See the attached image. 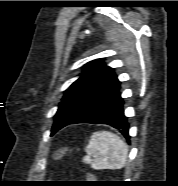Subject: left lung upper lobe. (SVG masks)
I'll return each instance as SVG.
<instances>
[{"label":"left lung upper lobe","mask_w":178,"mask_h":186,"mask_svg":"<svg viewBox=\"0 0 178 186\" xmlns=\"http://www.w3.org/2000/svg\"><path fill=\"white\" fill-rule=\"evenodd\" d=\"M120 84L113 68L105 65L103 59L88 62L80 77L65 92L55 115L51 135L85 110L117 93Z\"/></svg>","instance_id":"1"}]
</instances>
